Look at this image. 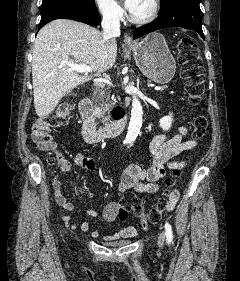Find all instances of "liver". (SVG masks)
Returning a JSON list of instances; mask_svg holds the SVG:
<instances>
[{"label": "liver", "instance_id": "liver-1", "mask_svg": "<svg viewBox=\"0 0 240 281\" xmlns=\"http://www.w3.org/2000/svg\"><path fill=\"white\" fill-rule=\"evenodd\" d=\"M117 43L104 42L103 34L84 23L57 19L37 34L32 60V81L36 114L44 118L62 97L93 75H79L68 63L87 65L94 72L111 69ZM92 73V72H91Z\"/></svg>", "mask_w": 240, "mask_h": 281}]
</instances>
